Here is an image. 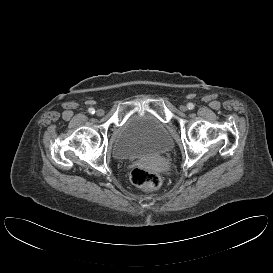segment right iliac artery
Wrapping results in <instances>:
<instances>
[{"label":"right iliac artery","instance_id":"right-iliac-artery-1","mask_svg":"<svg viewBox=\"0 0 273 273\" xmlns=\"http://www.w3.org/2000/svg\"><path fill=\"white\" fill-rule=\"evenodd\" d=\"M88 111H89V113H91V114H94V113H95V109H94V108H89Z\"/></svg>","mask_w":273,"mask_h":273}]
</instances>
